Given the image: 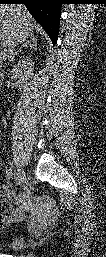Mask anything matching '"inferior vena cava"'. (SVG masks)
<instances>
[{
    "label": "inferior vena cava",
    "instance_id": "602c4592",
    "mask_svg": "<svg viewBox=\"0 0 106 257\" xmlns=\"http://www.w3.org/2000/svg\"><path fill=\"white\" fill-rule=\"evenodd\" d=\"M16 47V42L15 40H11L8 44V48L6 49H3L1 55H2V58L3 60H9L11 61L12 59V55L14 54V48Z\"/></svg>",
    "mask_w": 106,
    "mask_h": 257
}]
</instances>
